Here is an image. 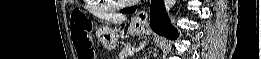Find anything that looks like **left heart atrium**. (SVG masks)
<instances>
[{"label": "left heart atrium", "instance_id": "39dd6f15", "mask_svg": "<svg viewBox=\"0 0 261 59\" xmlns=\"http://www.w3.org/2000/svg\"><path fill=\"white\" fill-rule=\"evenodd\" d=\"M126 2H128V3L137 2V0H127Z\"/></svg>", "mask_w": 261, "mask_h": 59}]
</instances>
